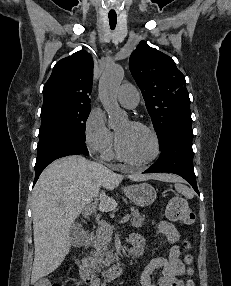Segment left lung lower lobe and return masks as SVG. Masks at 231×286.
Instances as JSON below:
<instances>
[{
  "label": "left lung lower lobe",
  "instance_id": "obj_1",
  "mask_svg": "<svg viewBox=\"0 0 231 286\" xmlns=\"http://www.w3.org/2000/svg\"><path fill=\"white\" fill-rule=\"evenodd\" d=\"M191 124H175L158 136L161 155L144 173L169 172L188 181L199 194L193 169Z\"/></svg>",
  "mask_w": 231,
  "mask_h": 286
}]
</instances>
